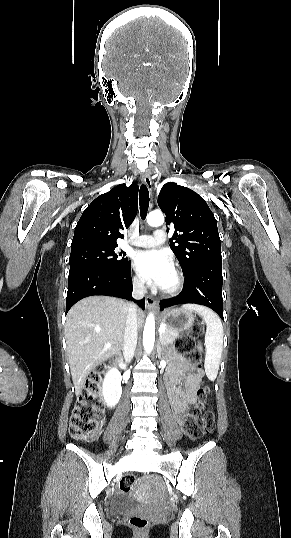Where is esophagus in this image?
Returning <instances> with one entry per match:
<instances>
[{
	"label": "esophagus",
	"mask_w": 291,
	"mask_h": 538,
	"mask_svg": "<svg viewBox=\"0 0 291 538\" xmlns=\"http://www.w3.org/2000/svg\"><path fill=\"white\" fill-rule=\"evenodd\" d=\"M142 182L146 185V187L148 188L149 192L152 193V181H151V178H150V175L148 172H144L142 174ZM145 302H146V306L148 308H155L156 305H157V302L151 297V296H146L145 298Z\"/></svg>",
	"instance_id": "obj_1"
}]
</instances>
